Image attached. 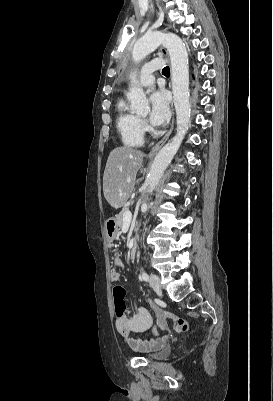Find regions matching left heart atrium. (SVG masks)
<instances>
[{"mask_svg":"<svg viewBox=\"0 0 273 401\" xmlns=\"http://www.w3.org/2000/svg\"><path fill=\"white\" fill-rule=\"evenodd\" d=\"M170 115L168 99L163 93L156 92L150 96L149 120L155 126L165 124Z\"/></svg>","mask_w":273,"mask_h":401,"instance_id":"left-heart-atrium-1","label":"left heart atrium"}]
</instances>
